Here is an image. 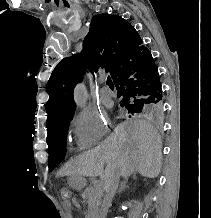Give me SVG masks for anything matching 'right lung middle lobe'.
Here are the masks:
<instances>
[{
	"label": "right lung middle lobe",
	"mask_w": 211,
	"mask_h": 218,
	"mask_svg": "<svg viewBox=\"0 0 211 218\" xmlns=\"http://www.w3.org/2000/svg\"><path fill=\"white\" fill-rule=\"evenodd\" d=\"M121 107L128 110V113L135 114L143 111L158 113L163 109V100L149 101L141 98L122 97ZM74 111L62 117L48 133L47 144L49 150V171H52L63 160L66 148L67 131ZM131 117V116H129Z\"/></svg>",
	"instance_id": "1"
}]
</instances>
